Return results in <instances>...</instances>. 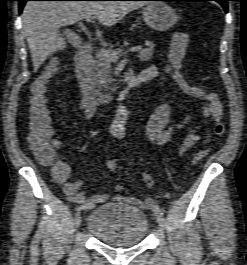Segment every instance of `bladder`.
<instances>
[{
	"label": "bladder",
	"instance_id": "31cf9c89",
	"mask_svg": "<svg viewBox=\"0 0 247 265\" xmlns=\"http://www.w3.org/2000/svg\"><path fill=\"white\" fill-rule=\"evenodd\" d=\"M147 215L130 205L106 202L91 211L87 229L100 242L124 247L141 243L148 233Z\"/></svg>",
	"mask_w": 247,
	"mask_h": 265
}]
</instances>
